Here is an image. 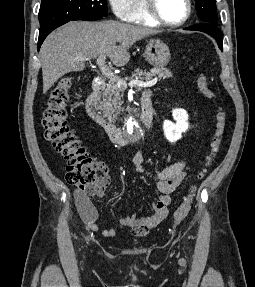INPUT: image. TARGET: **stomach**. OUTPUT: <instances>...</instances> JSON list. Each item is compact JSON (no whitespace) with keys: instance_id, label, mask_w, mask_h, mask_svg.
Wrapping results in <instances>:
<instances>
[{"instance_id":"obj_1","label":"stomach","mask_w":255,"mask_h":287,"mask_svg":"<svg viewBox=\"0 0 255 287\" xmlns=\"http://www.w3.org/2000/svg\"><path fill=\"white\" fill-rule=\"evenodd\" d=\"M144 56L154 68L167 66L171 58L167 44H164L161 40H150L145 48Z\"/></svg>"}]
</instances>
